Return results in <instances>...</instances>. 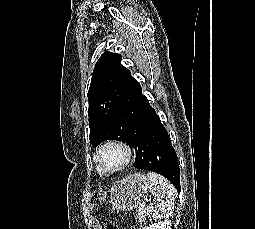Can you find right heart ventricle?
Returning <instances> with one entry per match:
<instances>
[{
	"instance_id": "e07e8e85",
	"label": "right heart ventricle",
	"mask_w": 255,
	"mask_h": 229,
	"mask_svg": "<svg viewBox=\"0 0 255 229\" xmlns=\"http://www.w3.org/2000/svg\"><path fill=\"white\" fill-rule=\"evenodd\" d=\"M97 169L100 173H104L100 168L97 167Z\"/></svg>"
}]
</instances>
